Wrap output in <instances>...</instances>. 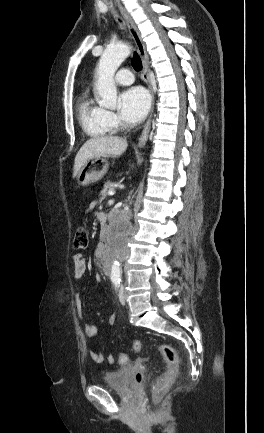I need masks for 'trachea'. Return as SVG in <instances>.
I'll list each match as a JSON object with an SVG mask.
<instances>
[{
    "label": "trachea",
    "instance_id": "trachea-1",
    "mask_svg": "<svg viewBox=\"0 0 264 433\" xmlns=\"http://www.w3.org/2000/svg\"><path fill=\"white\" fill-rule=\"evenodd\" d=\"M132 66L136 71H141V69H142L141 59L136 52H134V56H133V60H132Z\"/></svg>",
    "mask_w": 264,
    "mask_h": 433
}]
</instances>
